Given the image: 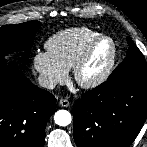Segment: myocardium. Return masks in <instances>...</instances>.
Returning <instances> with one entry per match:
<instances>
[{"label": "myocardium", "mask_w": 147, "mask_h": 147, "mask_svg": "<svg viewBox=\"0 0 147 147\" xmlns=\"http://www.w3.org/2000/svg\"><path fill=\"white\" fill-rule=\"evenodd\" d=\"M102 41H108L111 46L108 61L100 73H98L95 77L91 79L85 80L82 78V70L87 64L88 60L90 59L96 46ZM116 58H117V45L115 40L109 35L99 34L88 43V45L85 47L82 54L79 56L76 63L74 64L73 66L74 80L80 87L84 89H93L98 87L103 82H105L108 79V77L111 75L115 66Z\"/></svg>", "instance_id": "myocardium-1"}]
</instances>
